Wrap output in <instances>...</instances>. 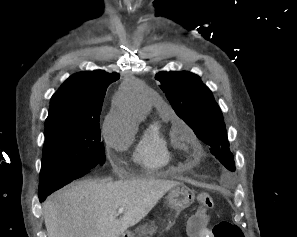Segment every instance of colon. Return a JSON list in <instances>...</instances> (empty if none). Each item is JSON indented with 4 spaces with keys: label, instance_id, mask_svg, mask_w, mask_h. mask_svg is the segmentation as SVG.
I'll return each mask as SVG.
<instances>
[{
    "label": "colon",
    "instance_id": "1",
    "mask_svg": "<svg viewBox=\"0 0 297 237\" xmlns=\"http://www.w3.org/2000/svg\"><path fill=\"white\" fill-rule=\"evenodd\" d=\"M200 214L192 221L191 228L193 233H197L203 227L206 220V212L214 206V200L208 193L202 192L198 195ZM214 237H244L242 230L235 224L228 221H221L213 228Z\"/></svg>",
    "mask_w": 297,
    "mask_h": 237
}]
</instances>
